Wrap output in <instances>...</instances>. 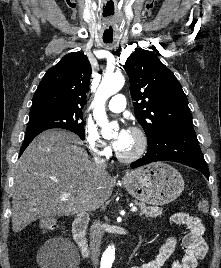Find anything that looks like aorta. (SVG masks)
Here are the masks:
<instances>
[{"instance_id":"1","label":"aorta","mask_w":221,"mask_h":268,"mask_svg":"<svg viewBox=\"0 0 221 268\" xmlns=\"http://www.w3.org/2000/svg\"><path fill=\"white\" fill-rule=\"evenodd\" d=\"M124 83L125 79L121 74L105 77L102 80L95 94L93 100V107H94L93 115L97 124L101 127V134L105 138L112 135V124L109 123L105 112L106 100L110 96L120 91L124 86ZM114 254H115L114 247L109 246L104 253L105 261L111 264L114 260Z\"/></svg>"}]
</instances>
